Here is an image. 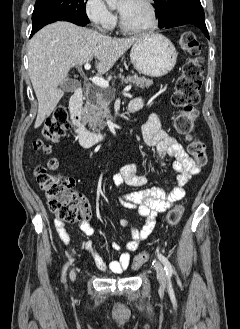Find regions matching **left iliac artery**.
<instances>
[{
	"label": "left iliac artery",
	"instance_id": "left-iliac-artery-1",
	"mask_svg": "<svg viewBox=\"0 0 240 329\" xmlns=\"http://www.w3.org/2000/svg\"><path fill=\"white\" fill-rule=\"evenodd\" d=\"M158 258L160 259V261L163 263L164 265V270L166 271V275L168 277H171L173 274V268L171 263L168 261V259L162 255V254H158Z\"/></svg>",
	"mask_w": 240,
	"mask_h": 329
}]
</instances>
